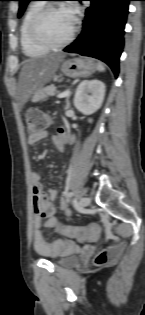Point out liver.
<instances>
[{"label":"liver","instance_id":"liver-1","mask_svg":"<svg viewBox=\"0 0 145 315\" xmlns=\"http://www.w3.org/2000/svg\"><path fill=\"white\" fill-rule=\"evenodd\" d=\"M64 57L65 54L56 53L24 62L17 90L19 107H22L32 95L40 91L54 77Z\"/></svg>","mask_w":145,"mask_h":315}]
</instances>
